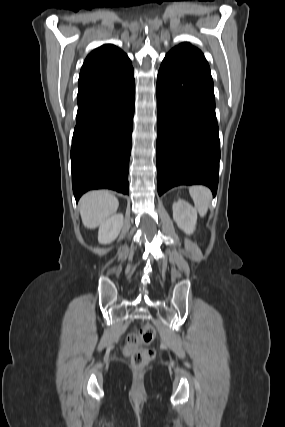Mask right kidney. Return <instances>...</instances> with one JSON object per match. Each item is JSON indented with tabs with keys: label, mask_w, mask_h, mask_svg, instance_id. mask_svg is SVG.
Here are the masks:
<instances>
[{
	"label": "right kidney",
	"mask_w": 285,
	"mask_h": 427,
	"mask_svg": "<svg viewBox=\"0 0 285 427\" xmlns=\"http://www.w3.org/2000/svg\"><path fill=\"white\" fill-rule=\"evenodd\" d=\"M123 214H114L100 224L98 241L101 244L113 242L123 227Z\"/></svg>",
	"instance_id": "1"
}]
</instances>
